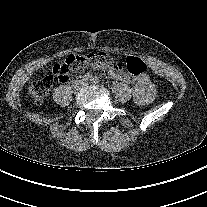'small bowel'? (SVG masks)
Returning a JSON list of instances; mask_svg holds the SVG:
<instances>
[{"mask_svg": "<svg viewBox=\"0 0 207 207\" xmlns=\"http://www.w3.org/2000/svg\"><path fill=\"white\" fill-rule=\"evenodd\" d=\"M92 69H98V70H105L107 71L112 78L115 80L130 84L135 83L136 86H134L131 89V94L134 100L140 104V105H146L150 103L155 96L156 93V87L153 82V80L147 76H139V77H133L127 73H125L122 70V67L120 63L114 62L111 66L105 67V68H97L90 66ZM68 74H64L58 77L59 82L61 83H67L69 81Z\"/></svg>", "mask_w": 207, "mask_h": 207, "instance_id": "small-bowel-1", "label": "small bowel"}]
</instances>
